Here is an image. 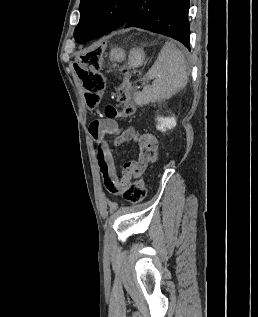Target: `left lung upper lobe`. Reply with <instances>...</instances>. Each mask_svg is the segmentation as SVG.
<instances>
[{
	"label": "left lung upper lobe",
	"instance_id": "1",
	"mask_svg": "<svg viewBox=\"0 0 258 317\" xmlns=\"http://www.w3.org/2000/svg\"><path fill=\"white\" fill-rule=\"evenodd\" d=\"M134 0H81L80 21L74 31L79 42L85 35L99 28L117 29L129 14Z\"/></svg>",
	"mask_w": 258,
	"mask_h": 317
}]
</instances>
